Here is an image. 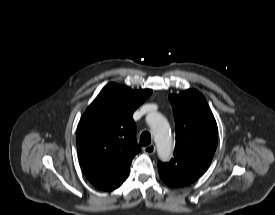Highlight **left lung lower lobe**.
<instances>
[{"mask_svg":"<svg viewBox=\"0 0 275 215\" xmlns=\"http://www.w3.org/2000/svg\"><path fill=\"white\" fill-rule=\"evenodd\" d=\"M159 175H160L161 179H162L166 184H168V185H170V186H173V187H181V186H184V185H180V184H177V183H174V182H171V181L167 180V179L163 176V174H160V173H159Z\"/></svg>","mask_w":275,"mask_h":215,"instance_id":"obj_1","label":"left lung lower lobe"}]
</instances>
